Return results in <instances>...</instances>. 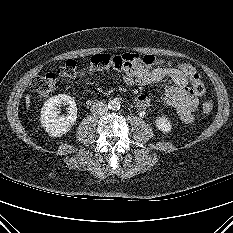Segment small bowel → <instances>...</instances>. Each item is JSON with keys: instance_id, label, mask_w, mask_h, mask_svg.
<instances>
[{"instance_id": "small-bowel-1", "label": "small bowel", "mask_w": 233, "mask_h": 233, "mask_svg": "<svg viewBox=\"0 0 233 233\" xmlns=\"http://www.w3.org/2000/svg\"><path fill=\"white\" fill-rule=\"evenodd\" d=\"M113 76L116 80L127 85L146 86L161 83L166 78L172 82L165 89V104L175 110L180 119L185 123H192L194 111L198 105L200 95L194 93L189 87V78L179 68L147 67L139 62L113 63L111 66ZM134 104L139 109L150 106V99L146 95H138Z\"/></svg>"}]
</instances>
